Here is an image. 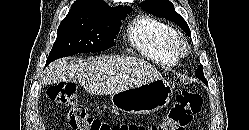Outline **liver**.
<instances>
[{"label":"liver","mask_w":249,"mask_h":130,"mask_svg":"<svg viewBox=\"0 0 249 130\" xmlns=\"http://www.w3.org/2000/svg\"><path fill=\"white\" fill-rule=\"evenodd\" d=\"M43 84L79 82L90 94H114L150 81L161 73L145 60L135 57H98L88 60L60 59L50 64Z\"/></svg>","instance_id":"obj_1"}]
</instances>
